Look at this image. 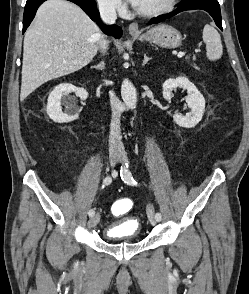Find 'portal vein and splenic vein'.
Instances as JSON below:
<instances>
[{
	"label": "portal vein and splenic vein",
	"mask_w": 249,
	"mask_h": 294,
	"mask_svg": "<svg viewBox=\"0 0 249 294\" xmlns=\"http://www.w3.org/2000/svg\"><path fill=\"white\" fill-rule=\"evenodd\" d=\"M177 56L178 58H182L185 56V52H179Z\"/></svg>",
	"instance_id": "portal-vein-and-splenic-vein-1"
}]
</instances>
